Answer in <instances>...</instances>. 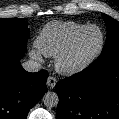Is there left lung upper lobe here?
Wrapping results in <instances>:
<instances>
[{
    "mask_svg": "<svg viewBox=\"0 0 119 119\" xmlns=\"http://www.w3.org/2000/svg\"><path fill=\"white\" fill-rule=\"evenodd\" d=\"M107 27V38L101 55L93 63L104 67L119 60V22L106 14H102Z\"/></svg>",
    "mask_w": 119,
    "mask_h": 119,
    "instance_id": "1",
    "label": "left lung upper lobe"
}]
</instances>
